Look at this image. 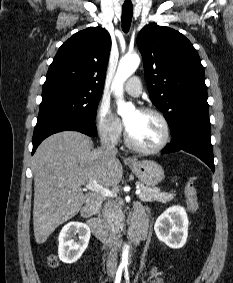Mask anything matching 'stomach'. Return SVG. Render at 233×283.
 <instances>
[{"label": "stomach", "instance_id": "obj_1", "mask_svg": "<svg viewBox=\"0 0 233 283\" xmlns=\"http://www.w3.org/2000/svg\"><path fill=\"white\" fill-rule=\"evenodd\" d=\"M129 168L135 176L145 185L154 187L164 179V170L151 160L133 161Z\"/></svg>", "mask_w": 233, "mask_h": 283}]
</instances>
